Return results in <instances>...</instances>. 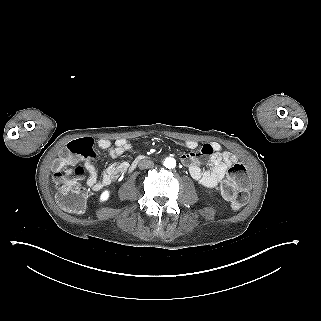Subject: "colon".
<instances>
[{"label":"colon","mask_w":321,"mask_h":321,"mask_svg":"<svg viewBox=\"0 0 321 321\" xmlns=\"http://www.w3.org/2000/svg\"><path fill=\"white\" fill-rule=\"evenodd\" d=\"M95 157L93 140L81 138L71 141L60 152L53 164V177L58 188L57 200L67 212L80 214L85 210L86 190L82 186L85 169L78 164L80 159ZM249 176L241 162L232 164L222 188L224 197L233 210H239L249 198Z\"/></svg>","instance_id":"5ec220e1"}]
</instances>
